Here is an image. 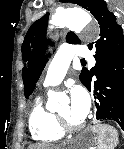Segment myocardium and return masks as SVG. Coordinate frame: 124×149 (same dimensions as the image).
Listing matches in <instances>:
<instances>
[{
    "label": "myocardium",
    "mask_w": 124,
    "mask_h": 149,
    "mask_svg": "<svg viewBox=\"0 0 124 149\" xmlns=\"http://www.w3.org/2000/svg\"><path fill=\"white\" fill-rule=\"evenodd\" d=\"M54 115L58 128L63 132L68 133L76 132L79 131L81 128H83L85 125L84 121H81L80 123L77 124H73L58 112H55Z\"/></svg>",
    "instance_id": "f54148a6"
}]
</instances>
